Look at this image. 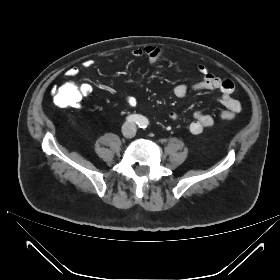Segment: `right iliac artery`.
Returning <instances> with one entry per match:
<instances>
[{
    "label": "right iliac artery",
    "instance_id": "1",
    "mask_svg": "<svg viewBox=\"0 0 280 280\" xmlns=\"http://www.w3.org/2000/svg\"><path fill=\"white\" fill-rule=\"evenodd\" d=\"M126 119L128 122L139 124L143 118L138 114H133L128 116Z\"/></svg>",
    "mask_w": 280,
    "mask_h": 280
}]
</instances>
